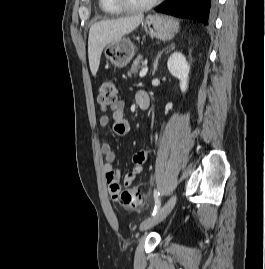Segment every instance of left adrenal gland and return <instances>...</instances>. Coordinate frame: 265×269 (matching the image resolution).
<instances>
[{"mask_svg":"<svg viewBox=\"0 0 265 269\" xmlns=\"http://www.w3.org/2000/svg\"><path fill=\"white\" fill-rule=\"evenodd\" d=\"M168 48H171V49H174L175 48V44L172 43L169 47L163 49L160 53H158L156 59H155V62H154V65H153V72H152V75L154 76L155 75V72L157 70V66H158V61H159V58L161 57V55L163 54V52L165 50H167Z\"/></svg>","mask_w":265,"mask_h":269,"instance_id":"a2214340","label":"left adrenal gland"}]
</instances>
